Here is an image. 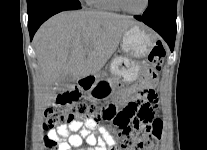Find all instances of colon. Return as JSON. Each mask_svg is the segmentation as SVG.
<instances>
[{"label": "colon", "mask_w": 207, "mask_h": 150, "mask_svg": "<svg viewBox=\"0 0 207 150\" xmlns=\"http://www.w3.org/2000/svg\"><path fill=\"white\" fill-rule=\"evenodd\" d=\"M166 50L157 43L148 54L150 68L147 80L154 86L141 87L136 93V99H129L125 107L118 108L110 103L100 106L84 101L72 102L71 98L54 100V106L44 113V128L53 129L70 121L75 116H83L86 122L94 127L101 122H112L117 128L118 143L112 150H158L163 124L156 116L159 104L158 77ZM45 150H59V142L55 139H45Z\"/></svg>", "instance_id": "5ec220e1"}]
</instances>
